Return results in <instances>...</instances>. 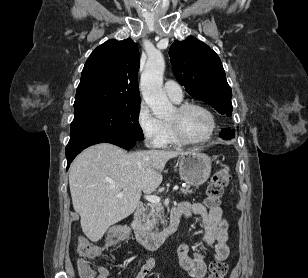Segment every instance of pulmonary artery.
<instances>
[{"label":"pulmonary artery","mask_w":308,"mask_h":278,"mask_svg":"<svg viewBox=\"0 0 308 278\" xmlns=\"http://www.w3.org/2000/svg\"><path fill=\"white\" fill-rule=\"evenodd\" d=\"M164 92L175 102H180L183 99V92L179 84L174 81H167L164 84Z\"/></svg>","instance_id":"pulmonary-artery-1"}]
</instances>
